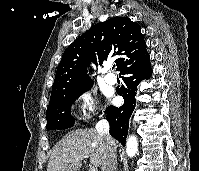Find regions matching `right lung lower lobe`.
Masks as SVG:
<instances>
[{"label": "right lung lower lobe", "mask_w": 199, "mask_h": 171, "mask_svg": "<svg viewBox=\"0 0 199 171\" xmlns=\"http://www.w3.org/2000/svg\"><path fill=\"white\" fill-rule=\"evenodd\" d=\"M123 77L124 85L117 88V92L124 98V104L121 107L109 106L106 109V118L110 123V134L117 139L123 146L125 145L129 118L135 108V96L138 84L148 79L152 74L150 57L147 54L143 59L135 62L120 71Z\"/></svg>", "instance_id": "obj_1"}]
</instances>
